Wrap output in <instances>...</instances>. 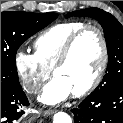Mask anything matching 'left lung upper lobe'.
Wrapping results in <instances>:
<instances>
[{
  "mask_svg": "<svg viewBox=\"0 0 123 123\" xmlns=\"http://www.w3.org/2000/svg\"><path fill=\"white\" fill-rule=\"evenodd\" d=\"M70 16H89L99 21L104 29L109 62L106 74L96 90H109L123 84V27L110 13L99 8H89L68 13Z\"/></svg>",
  "mask_w": 123,
  "mask_h": 123,
  "instance_id": "5c2ea615",
  "label": "left lung upper lobe"
}]
</instances>
